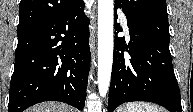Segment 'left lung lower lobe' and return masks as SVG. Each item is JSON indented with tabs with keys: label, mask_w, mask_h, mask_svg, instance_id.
Wrapping results in <instances>:
<instances>
[{
	"label": "left lung lower lobe",
	"mask_w": 193,
	"mask_h": 112,
	"mask_svg": "<svg viewBox=\"0 0 193 112\" xmlns=\"http://www.w3.org/2000/svg\"><path fill=\"white\" fill-rule=\"evenodd\" d=\"M127 25L129 44L124 38H115L108 112L132 101L153 102L170 112H182L169 50L168 15L127 18ZM116 30L119 32L117 24Z\"/></svg>",
	"instance_id": "obj_1"
}]
</instances>
